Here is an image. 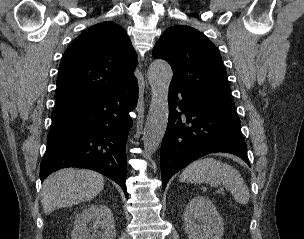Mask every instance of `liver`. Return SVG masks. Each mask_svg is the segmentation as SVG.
Segmentation results:
<instances>
[{
	"label": "liver",
	"mask_w": 304,
	"mask_h": 239,
	"mask_svg": "<svg viewBox=\"0 0 304 239\" xmlns=\"http://www.w3.org/2000/svg\"><path fill=\"white\" fill-rule=\"evenodd\" d=\"M104 186V177L91 170L66 168L46 178L42 187L41 203L45 214L90 200Z\"/></svg>",
	"instance_id": "6515ba94"
}]
</instances>
